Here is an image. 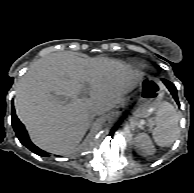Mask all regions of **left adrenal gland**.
Instances as JSON below:
<instances>
[{
    "label": "left adrenal gland",
    "instance_id": "left-adrenal-gland-1",
    "mask_svg": "<svg viewBox=\"0 0 194 193\" xmlns=\"http://www.w3.org/2000/svg\"><path fill=\"white\" fill-rule=\"evenodd\" d=\"M130 121H131V126L134 128L137 125V123L132 118L130 119Z\"/></svg>",
    "mask_w": 194,
    "mask_h": 193
}]
</instances>
